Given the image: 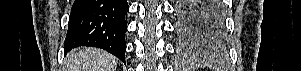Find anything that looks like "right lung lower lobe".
Masks as SVG:
<instances>
[{
    "label": "right lung lower lobe",
    "instance_id": "98d812e1",
    "mask_svg": "<svg viewBox=\"0 0 301 71\" xmlns=\"http://www.w3.org/2000/svg\"><path fill=\"white\" fill-rule=\"evenodd\" d=\"M126 0H75L71 9L64 48L77 46L104 49L125 63Z\"/></svg>",
    "mask_w": 301,
    "mask_h": 71
}]
</instances>
